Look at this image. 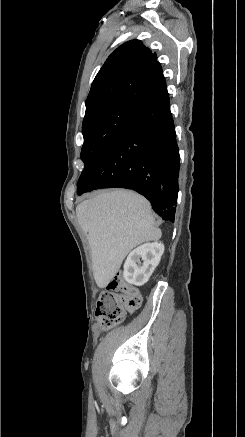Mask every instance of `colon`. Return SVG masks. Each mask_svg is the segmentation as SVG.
<instances>
[{
    "instance_id": "obj_1",
    "label": "colon",
    "mask_w": 245,
    "mask_h": 437,
    "mask_svg": "<svg viewBox=\"0 0 245 437\" xmlns=\"http://www.w3.org/2000/svg\"><path fill=\"white\" fill-rule=\"evenodd\" d=\"M142 303L140 292L116 275L102 292L96 304V317L104 329L124 320L125 314L136 311Z\"/></svg>"
}]
</instances>
